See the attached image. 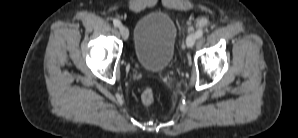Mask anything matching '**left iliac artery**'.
<instances>
[{
    "label": "left iliac artery",
    "instance_id": "44dca946",
    "mask_svg": "<svg viewBox=\"0 0 298 138\" xmlns=\"http://www.w3.org/2000/svg\"><path fill=\"white\" fill-rule=\"evenodd\" d=\"M203 30L202 29H199L197 32H196V36L197 38H200L202 35H203Z\"/></svg>",
    "mask_w": 298,
    "mask_h": 138
}]
</instances>
